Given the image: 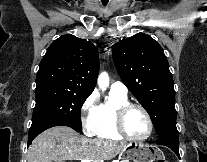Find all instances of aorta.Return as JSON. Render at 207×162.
<instances>
[{"instance_id":"aorta-1","label":"aorta","mask_w":207,"mask_h":162,"mask_svg":"<svg viewBox=\"0 0 207 162\" xmlns=\"http://www.w3.org/2000/svg\"><path fill=\"white\" fill-rule=\"evenodd\" d=\"M97 83H98L99 88L104 91L109 85V76H108V74L106 72L100 73L99 76H98Z\"/></svg>"}]
</instances>
